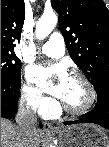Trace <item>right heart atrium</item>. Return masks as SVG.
Wrapping results in <instances>:
<instances>
[{
  "instance_id": "right-heart-atrium-1",
  "label": "right heart atrium",
  "mask_w": 109,
  "mask_h": 147,
  "mask_svg": "<svg viewBox=\"0 0 109 147\" xmlns=\"http://www.w3.org/2000/svg\"><path fill=\"white\" fill-rule=\"evenodd\" d=\"M21 98L28 107L39 113L53 108L52 99L44 97L39 89L29 84L22 86Z\"/></svg>"
}]
</instances>
